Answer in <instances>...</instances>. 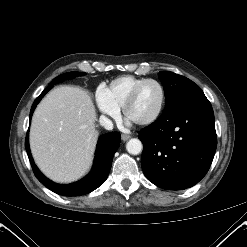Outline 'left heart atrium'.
Listing matches in <instances>:
<instances>
[{
    "mask_svg": "<svg viewBox=\"0 0 247 247\" xmlns=\"http://www.w3.org/2000/svg\"><path fill=\"white\" fill-rule=\"evenodd\" d=\"M133 121H131L130 119L127 120L128 124H131Z\"/></svg>",
    "mask_w": 247,
    "mask_h": 247,
    "instance_id": "obj_1",
    "label": "left heart atrium"
}]
</instances>
